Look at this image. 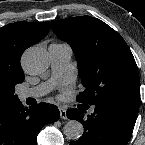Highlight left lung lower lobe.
<instances>
[{
    "instance_id": "obj_1",
    "label": "left lung lower lobe",
    "mask_w": 145,
    "mask_h": 145,
    "mask_svg": "<svg viewBox=\"0 0 145 145\" xmlns=\"http://www.w3.org/2000/svg\"><path fill=\"white\" fill-rule=\"evenodd\" d=\"M93 105L94 113L87 118L84 117L85 109L67 111L69 119L84 126L82 137L70 145H126L134 129L140 100L115 99Z\"/></svg>"
}]
</instances>
